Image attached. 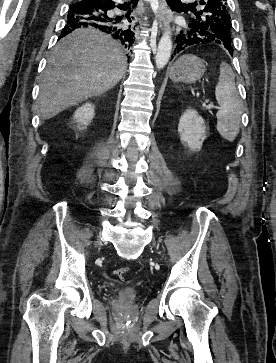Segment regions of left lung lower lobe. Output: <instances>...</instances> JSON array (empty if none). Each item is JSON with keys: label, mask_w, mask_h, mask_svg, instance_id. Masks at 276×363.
<instances>
[{"label": "left lung lower lobe", "mask_w": 276, "mask_h": 363, "mask_svg": "<svg viewBox=\"0 0 276 363\" xmlns=\"http://www.w3.org/2000/svg\"><path fill=\"white\" fill-rule=\"evenodd\" d=\"M189 27L191 29L186 34L176 37V43L178 44L174 50L175 53H179L192 45L206 44L215 39L214 35L208 30H202L203 27L190 24ZM181 33H183V31H181ZM227 50L231 55L233 54V50L230 48Z\"/></svg>", "instance_id": "obj_1"}]
</instances>
